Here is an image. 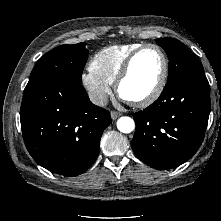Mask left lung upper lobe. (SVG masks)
<instances>
[{"label": "left lung upper lobe", "instance_id": "5c2ea615", "mask_svg": "<svg viewBox=\"0 0 221 221\" xmlns=\"http://www.w3.org/2000/svg\"><path fill=\"white\" fill-rule=\"evenodd\" d=\"M156 42L167 53L169 59V75L165 87H168L187 74L204 71L195 55L175 38H158Z\"/></svg>", "mask_w": 221, "mask_h": 221}]
</instances>
